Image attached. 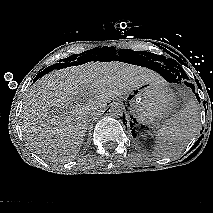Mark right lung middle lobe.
Returning <instances> with one entry per match:
<instances>
[{
  "instance_id": "obj_1",
  "label": "right lung middle lobe",
  "mask_w": 213,
  "mask_h": 213,
  "mask_svg": "<svg viewBox=\"0 0 213 213\" xmlns=\"http://www.w3.org/2000/svg\"><path fill=\"white\" fill-rule=\"evenodd\" d=\"M76 57H77V55L70 56L69 58L66 59V61H72V60H74Z\"/></svg>"
}]
</instances>
